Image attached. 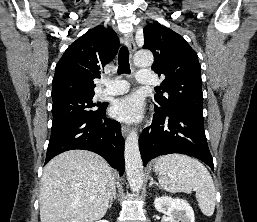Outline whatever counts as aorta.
I'll return each mask as SVG.
<instances>
[{
  "instance_id": "obj_1",
  "label": "aorta",
  "mask_w": 257,
  "mask_h": 222,
  "mask_svg": "<svg viewBox=\"0 0 257 222\" xmlns=\"http://www.w3.org/2000/svg\"><path fill=\"white\" fill-rule=\"evenodd\" d=\"M153 61V54L147 50H140L134 56V64L139 67H149ZM124 158L130 189L133 192H138L143 185L144 171L136 130H132L126 138Z\"/></svg>"
}]
</instances>
